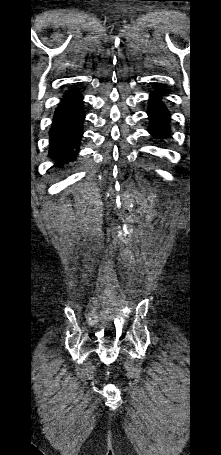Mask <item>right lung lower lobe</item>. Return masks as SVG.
Instances as JSON below:
<instances>
[{"label":"right lung lower lobe","instance_id":"obj_1","mask_svg":"<svg viewBox=\"0 0 221 455\" xmlns=\"http://www.w3.org/2000/svg\"><path fill=\"white\" fill-rule=\"evenodd\" d=\"M85 112L83 97L76 88L67 90L55 109L53 123L49 131V157L63 167L74 161L80 151L83 137Z\"/></svg>","mask_w":221,"mask_h":455}]
</instances>
